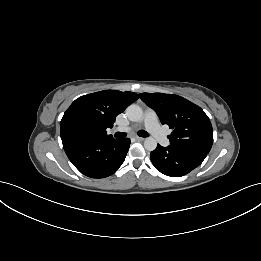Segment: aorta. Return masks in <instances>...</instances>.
Returning <instances> with one entry per match:
<instances>
[{"instance_id": "aorta-1", "label": "aorta", "mask_w": 261, "mask_h": 261, "mask_svg": "<svg viewBox=\"0 0 261 261\" xmlns=\"http://www.w3.org/2000/svg\"><path fill=\"white\" fill-rule=\"evenodd\" d=\"M126 116L130 121L138 122L143 117V110L140 106L132 104L127 107ZM144 147L148 151H153L157 147V141L153 137H147L144 141Z\"/></svg>"}]
</instances>
